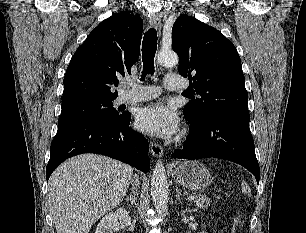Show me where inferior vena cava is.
<instances>
[{"instance_id":"inferior-vena-cava-1","label":"inferior vena cava","mask_w":306,"mask_h":233,"mask_svg":"<svg viewBox=\"0 0 306 233\" xmlns=\"http://www.w3.org/2000/svg\"><path fill=\"white\" fill-rule=\"evenodd\" d=\"M137 182H138L137 180H136V181H134L135 186H137ZM133 189H134V190H136V188H135V187H133Z\"/></svg>"}]
</instances>
